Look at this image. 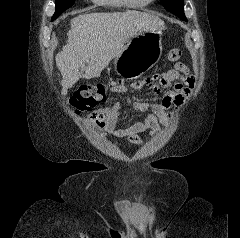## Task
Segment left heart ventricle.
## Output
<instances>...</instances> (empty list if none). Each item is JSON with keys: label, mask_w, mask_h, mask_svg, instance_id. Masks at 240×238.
<instances>
[{"label": "left heart ventricle", "mask_w": 240, "mask_h": 238, "mask_svg": "<svg viewBox=\"0 0 240 238\" xmlns=\"http://www.w3.org/2000/svg\"><path fill=\"white\" fill-rule=\"evenodd\" d=\"M134 1H143V0H134ZM145 1V0H144Z\"/></svg>", "instance_id": "left-heart-ventricle-1"}]
</instances>
